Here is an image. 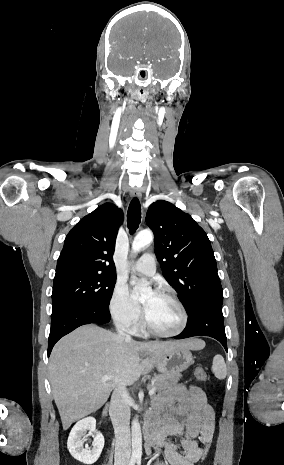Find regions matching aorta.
Masks as SVG:
<instances>
[{"mask_svg": "<svg viewBox=\"0 0 284 465\" xmlns=\"http://www.w3.org/2000/svg\"><path fill=\"white\" fill-rule=\"evenodd\" d=\"M153 241V234L151 231L139 232L133 240L132 252L138 253L142 248L146 247ZM140 300H144L150 294L151 289L148 287H140ZM132 457L140 459L142 455V434L141 427L137 417L132 421Z\"/></svg>", "mask_w": 284, "mask_h": 465, "instance_id": "762f6f07", "label": "aorta"}]
</instances>
